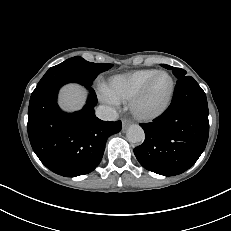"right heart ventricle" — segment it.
<instances>
[{"instance_id": "right-heart-ventricle-1", "label": "right heart ventricle", "mask_w": 231, "mask_h": 231, "mask_svg": "<svg viewBox=\"0 0 231 231\" xmlns=\"http://www.w3.org/2000/svg\"><path fill=\"white\" fill-rule=\"evenodd\" d=\"M156 73L154 69L128 71L110 77L102 85V93L115 102L127 101Z\"/></svg>"}]
</instances>
